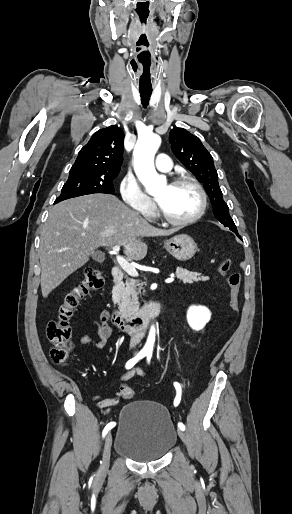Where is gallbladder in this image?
<instances>
[{"label": "gallbladder", "mask_w": 292, "mask_h": 514, "mask_svg": "<svg viewBox=\"0 0 292 514\" xmlns=\"http://www.w3.org/2000/svg\"><path fill=\"white\" fill-rule=\"evenodd\" d=\"M95 260H100V262H103L104 254H95Z\"/></svg>", "instance_id": "gallbladder-1"}]
</instances>
